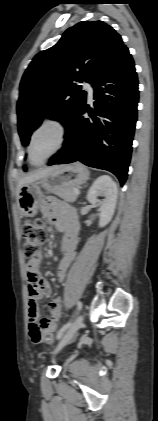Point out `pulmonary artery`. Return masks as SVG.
Segmentation results:
<instances>
[{
	"label": "pulmonary artery",
	"mask_w": 158,
	"mask_h": 421,
	"mask_svg": "<svg viewBox=\"0 0 158 421\" xmlns=\"http://www.w3.org/2000/svg\"><path fill=\"white\" fill-rule=\"evenodd\" d=\"M85 90L87 91L89 100H92L93 99V95H94L93 86L90 83H86L85 84Z\"/></svg>",
	"instance_id": "e3ab8cb5"
}]
</instances>
